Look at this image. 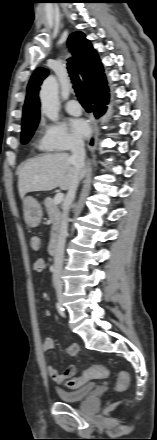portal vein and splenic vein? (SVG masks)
I'll return each instance as SVG.
<instances>
[{"label":"portal vein and splenic vein","instance_id":"portal-vein-and-splenic-vein-1","mask_svg":"<svg viewBox=\"0 0 157 440\" xmlns=\"http://www.w3.org/2000/svg\"><path fill=\"white\" fill-rule=\"evenodd\" d=\"M64 198V194L63 193H58L56 194V196L54 197V204L58 205L63 201Z\"/></svg>","mask_w":157,"mask_h":440}]
</instances>
